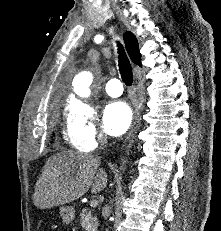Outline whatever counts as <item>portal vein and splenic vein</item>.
<instances>
[{"instance_id": "18ae733b", "label": "portal vein and splenic vein", "mask_w": 221, "mask_h": 231, "mask_svg": "<svg viewBox=\"0 0 221 231\" xmlns=\"http://www.w3.org/2000/svg\"><path fill=\"white\" fill-rule=\"evenodd\" d=\"M98 205V201L97 200H92L91 202H90V206L91 207H96Z\"/></svg>"}]
</instances>
